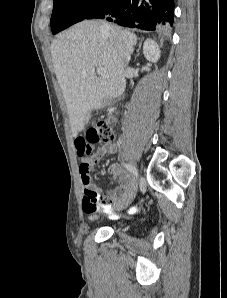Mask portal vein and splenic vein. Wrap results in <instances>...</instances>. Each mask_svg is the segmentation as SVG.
<instances>
[{
    "label": "portal vein and splenic vein",
    "instance_id": "18ae733b",
    "mask_svg": "<svg viewBox=\"0 0 227 298\" xmlns=\"http://www.w3.org/2000/svg\"><path fill=\"white\" fill-rule=\"evenodd\" d=\"M97 73L103 78H109L107 71L103 67L97 68Z\"/></svg>",
    "mask_w": 227,
    "mask_h": 298
}]
</instances>
